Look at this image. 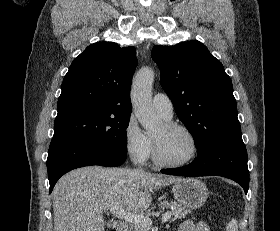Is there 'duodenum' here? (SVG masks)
Returning a JSON list of instances; mask_svg holds the SVG:
<instances>
[{"label":"duodenum","instance_id":"duodenum-1","mask_svg":"<svg viewBox=\"0 0 280 231\" xmlns=\"http://www.w3.org/2000/svg\"><path fill=\"white\" fill-rule=\"evenodd\" d=\"M116 231H129V229L126 224L121 223L117 226Z\"/></svg>","mask_w":280,"mask_h":231}]
</instances>
